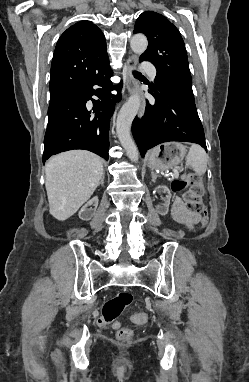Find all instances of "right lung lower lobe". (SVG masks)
<instances>
[{
  "label": "right lung lower lobe",
  "instance_id": "right-lung-lower-lobe-1",
  "mask_svg": "<svg viewBox=\"0 0 249 382\" xmlns=\"http://www.w3.org/2000/svg\"><path fill=\"white\" fill-rule=\"evenodd\" d=\"M111 76L107 58L80 86L50 103L43 162L54 154L73 149L89 150L108 160L110 118L115 103L120 101L122 87L119 86L117 96L112 95Z\"/></svg>",
  "mask_w": 249,
  "mask_h": 382
}]
</instances>
